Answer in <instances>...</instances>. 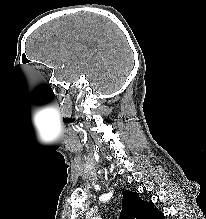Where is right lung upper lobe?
<instances>
[{"label": "right lung upper lobe", "mask_w": 206, "mask_h": 219, "mask_svg": "<svg viewBox=\"0 0 206 219\" xmlns=\"http://www.w3.org/2000/svg\"><path fill=\"white\" fill-rule=\"evenodd\" d=\"M122 205L120 219H164L153 202L141 200L136 192L124 191Z\"/></svg>", "instance_id": "cb5924a9"}]
</instances>
